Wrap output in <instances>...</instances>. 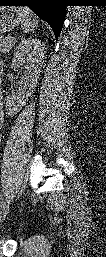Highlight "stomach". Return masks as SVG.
<instances>
[{"label":"stomach","mask_w":106,"mask_h":257,"mask_svg":"<svg viewBox=\"0 0 106 257\" xmlns=\"http://www.w3.org/2000/svg\"><path fill=\"white\" fill-rule=\"evenodd\" d=\"M0 13V32L2 34L10 32L21 22L17 8L1 7Z\"/></svg>","instance_id":"stomach-1"}]
</instances>
